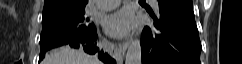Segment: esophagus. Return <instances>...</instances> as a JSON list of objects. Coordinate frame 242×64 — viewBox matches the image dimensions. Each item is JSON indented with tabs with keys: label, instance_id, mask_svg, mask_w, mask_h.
Returning a JSON list of instances; mask_svg holds the SVG:
<instances>
[{
	"label": "esophagus",
	"instance_id": "esophagus-1",
	"mask_svg": "<svg viewBox=\"0 0 242 64\" xmlns=\"http://www.w3.org/2000/svg\"><path fill=\"white\" fill-rule=\"evenodd\" d=\"M130 44V40L127 39L126 41L122 42L119 44V50L121 53H125V51L127 50L128 46Z\"/></svg>",
	"mask_w": 242,
	"mask_h": 64
}]
</instances>
